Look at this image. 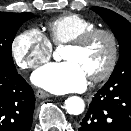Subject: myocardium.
I'll list each match as a JSON object with an SVG mask.
<instances>
[{
    "instance_id": "1",
    "label": "myocardium",
    "mask_w": 131,
    "mask_h": 131,
    "mask_svg": "<svg viewBox=\"0 0 131 131\" xmlns=\"http://www.w3.org/2000/svg\"><path fill=\"white\" fill-rule=\"evenodd\" d=\"M98 36H104L108 39L110 44V57L106 66L103 68L101 72L89 76V79L92 82H100L106 80L111 76V74L115 70L120 54V46L116 34L113 31L106 28H94L81 34L73 41L67 43V47L83 49Z\"/></svg>"
}]
</instances>
